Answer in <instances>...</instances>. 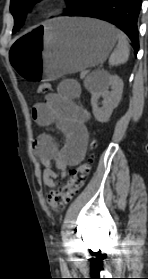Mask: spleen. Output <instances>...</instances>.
Returning a JSON list of instances; mask_svg holds the SVG:
<instances>
[{
    "mask_svg": "<svg viewBox=\"0 0 148 279\" xmlns=\"http://www.w3.org/2000/svg\"><path fill=\"white\" fill-rule=\"evenodd\" d=\"M117 37H118L117 48L114 50V52L111 54L109 58V64L111 66L123 64L127 62L129 58L130 50H129V43L127 41L126 36L123 33L119 32L117 34ZM100 74H101L100 72H94L86 79L85 86L89 90H91L95 80Z\"/></svg>",
    "mask_w": 148,
    "mask_h": 279,
    "instance_id": "spleen-1",
    "label": "spleen"
}]
</instances>
